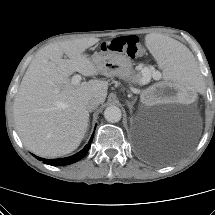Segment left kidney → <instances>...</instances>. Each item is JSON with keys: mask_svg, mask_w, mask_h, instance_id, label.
<instances>
[{"mask_svg": "<svg viewBox=\"0 0 215 215\" xmlns=\"http://www.w3.org/2000/svg\"><path fill=\"white\" fill-rule=\"evenodd\" d=\"M196 98V94L187 91L184 84L174 82H164L159 85L150 86L142 92V99L146 103L167 102H192Z\"/></svg>", "mask_w": 215, "mask_h": 215, "instance_id": "1", "label": "left kidney"}]
</instances>
